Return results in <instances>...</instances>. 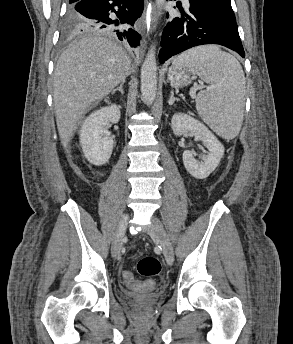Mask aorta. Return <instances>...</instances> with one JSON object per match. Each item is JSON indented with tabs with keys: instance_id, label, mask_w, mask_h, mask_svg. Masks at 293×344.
Returning a JSON list of instances; mask_svg holds the SVG:
<instances>
[{
	"instance_id": "1",
	"label": "aorta",
	"mask_w": 293,
	"mask_h": 344,
	"mask_svg": "<svg viewBox=\"0 0 293 344\" xmlns=\"http://www.w3.org/2000/svg\"><path fill=\"white\" fill-rule=\"evenodd\" d=\"M165 0H156L158 8H161ZM161 12H159V15ZM157 93V62L156 46H151L141 67V94L147 104H152Z\"/></svg>"
}]
</instances>
